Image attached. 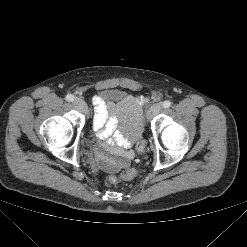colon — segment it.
Wrapping results in <instances>:
<instances>
[{
  "mask_svg": "<svg viewBox=\"0 0 247 247\" xmlns=\"http://www.w3.org/2000/svg\"><path fill=\"white\" fill-rule=\"evenodd\" d=\"M145 148V144L143 141H140L138 143V149L140 151H143ZM137 174V171L135 169H129L125 172H123L121 177H117V176H110L109 177V182L111 184H118L120 183L122 180H132Z\"/></svg>",
  "mask_w": 247,
  "mask_h": 247,
  "instance_id": "1",
  "label": "colon"
}]
</instances>
